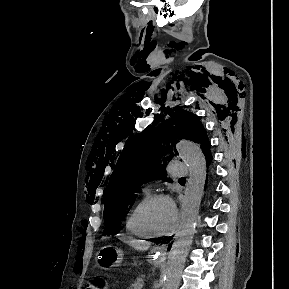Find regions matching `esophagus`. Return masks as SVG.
I'll return each mask as SVG.
<instances>
[{"label":"esophagus","instance_id":"1","mask_svg":"<svg viewBox=\"0 0 289 289\" xmlns=\"http://www.w3.org/2000/svg\"><path fill=\"white\" fill-rule=\"evenodd\" d=\"M157 250H159L161 252V255L165 257L167 254V245H161L157 248Z\"/></svg>","mask_w":289,"mask_h":289}]
</instances>
